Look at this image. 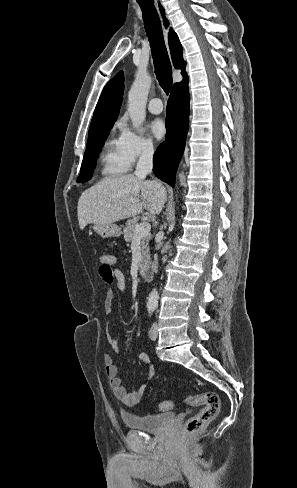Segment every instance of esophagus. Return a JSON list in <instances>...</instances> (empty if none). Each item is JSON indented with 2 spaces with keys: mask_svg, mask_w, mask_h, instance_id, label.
Listing matches in <instances>:
<instances>
[{
  "mask_svg": "<svg viewBox=\"0 0 297 488\" xmlns=\"http://www.w3.org/2000/svg\"><path fill=\"white\" fill-rule=\"evenodd\" d=\"M156 8H157L160 20H161V25L163 28L164 35L167 39L169 29H170V21L167 17L166 9H165L163 3L160 1H156Z\"/></svg>",
  "mask_w": 297,
  "mask_h": 488,
  "instance_id": "obj_1",
  "label": "esophagus"
}]
</instances>
